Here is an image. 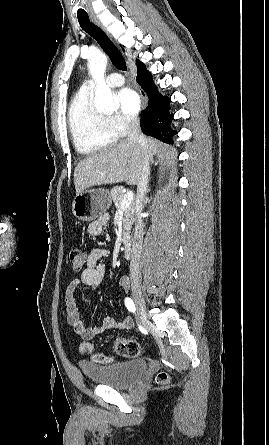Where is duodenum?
<instances>
[{
	"instance_id": "duodenum-1",
	"label": "duodenum",
	"mask_w": 269,
	"mask_h": 445,
	"mask_svg": "<svg viewBox=\"0 0 269 445\" xmlns=\"http://www.w3.org/2000/svg\"><path fill=\"white\" fill-rule=\"evenodd\" d=\"M123 254L126 258H130L132 254V243L131 241H125L123 245Z\"/></svg>"
}]
</instances>
